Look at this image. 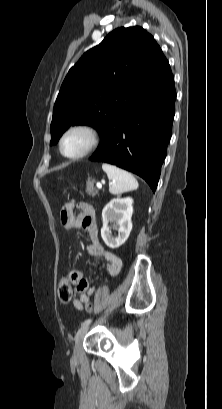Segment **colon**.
Wrapping results in <instances>:
<instances>
[{
    "mask_svg": "<svg viewBox=\"0 0 222 409\" xmlns=\"http://www.w3.org/2000/svg\"><path fill=\"white\" fill-rule=\"evenodd\" d=\"M68 271L65 273L58 289V297L62 303H68L71 300L73 294L72 292L74 285L70 283V279L67 277ZM85 310L87 314H92L93 313L92 304L91 303L85 304Z\"/></svg>",
    "mask_w": 222,
    "mask_h": 409,
    "instance_id": "colon-1",
    "label": "colon"
}]
</instances>
